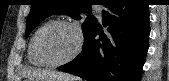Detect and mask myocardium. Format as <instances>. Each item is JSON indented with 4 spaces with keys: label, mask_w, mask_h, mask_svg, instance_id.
Masks as SVG:
<instances>
[{
    "label": "myocardium",
    "mask_w": 169,
    "mask_h": 81,
    "mask_svg": "<svg viewBox=\"0 0 169 81\" xmlns=\"http://www.w3.org/2000/svg\"><path fill=\"white\" fill-rule=\"evenodd\" d=\"M59 25L68 26V27H71L72 29H74V31L76 32V35H77V44H76V47L73 50V52L67 58L57 61V62H52V61H49L48 59H46V57L44 56V53L42 51V38L48 30H50L51 28H53L55 26H59ZM83 44H84L83 32L77 23H75L73 21H69V20H63V19L62 20H55V21L49 22L39 32V34L36 38V53L44 65H46L48 67H58V66L64 65V64L69 63L72 60H74L81 52V50L83 48Z\"/></svg>",
    "instance_id": "obj_1"
}]
</instances>
